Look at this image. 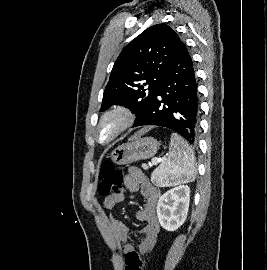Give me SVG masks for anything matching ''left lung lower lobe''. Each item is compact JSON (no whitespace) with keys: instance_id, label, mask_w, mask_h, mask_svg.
<instances>
[{"instance_id":"1","label":"left lung lower lobe","mask_w":267,"mask_h":270,"mask_svg":"<svg viewBox=\"0 0 267 270\" xmlns=\"http://www.w3.org/2000/svg\"><path fill=\"white\" fill-rule=\"evenodd\" d=\"M198 117L199 100L193 63L181 42L151 105L134 127L163 126L177 132L194 146Z\"/></svg>"}]
</instances>
